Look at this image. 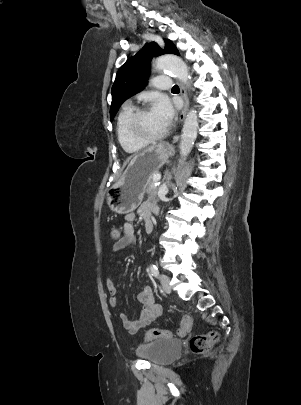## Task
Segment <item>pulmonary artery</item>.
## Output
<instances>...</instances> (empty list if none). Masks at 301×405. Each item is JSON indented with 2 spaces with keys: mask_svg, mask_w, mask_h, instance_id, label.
<instances>
[{
  "mask_svg": "<svg viewBox=\"0 0 301 405\" xmlns=\"http://www.w3.org/2000/svg\"><path fill=\"white\" fill-rule=\"evenodd\" d=\"M153 84L160 89H169L172 86V81L169 76L160 75L153 78Z\"/></svg>",
  "mask_w": 301,
  "mask_h": 405,
  "instance_id": "pulmonary-artery-1",
  "label": "pulmonary artery"
}]
</instances>
